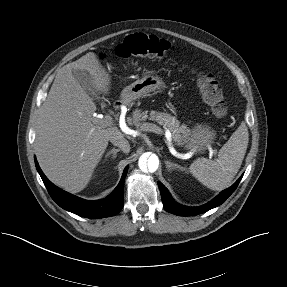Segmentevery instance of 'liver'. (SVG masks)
Wrapping results in <instances>:
<instances>
[{"instance_id": "obj_1", "label": "liver", "mask_w": 287, "mask_h": 287, "mask_svg": "<svg viewBox=\"0 0 287 287\" xmlns=\"http://www.w3.org/2000/svg\"><path fill=\"white\" fill-rule=\"evenodd\" d=\"M85 70L95 88L107 94L110 76L89 52L58 72L38 117L35 151L41 169L55 185L71 193L89 183L113 136L124 137L117 127H101L96 105L73 76Z\"/></svg>"}]
</instances>
